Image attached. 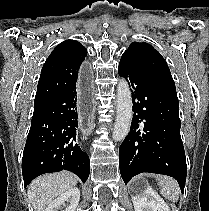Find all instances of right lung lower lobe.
I'll use <instances>...</instances> for the list:
<instances>
[{
    "label": "right lung lower lobe",
    "instance_id": "98d812e1",
    "mask_svg": "<svg viewBox=\"0 0 209 211\" xmlns=\"http://www.w3.org/2000/svg\"><path fill=\"white\" fill-rule=\"evenodd\" d=\"M76 86L34 110L22 158L24 187L49 172L68 170L82 182L89 177V157L76 143Z\"/></svg>",
    "mask_w": 209,
    "mask_h": 211
}]
</instances>
